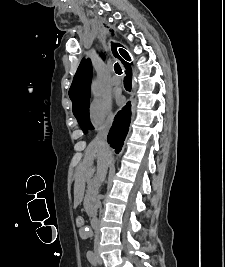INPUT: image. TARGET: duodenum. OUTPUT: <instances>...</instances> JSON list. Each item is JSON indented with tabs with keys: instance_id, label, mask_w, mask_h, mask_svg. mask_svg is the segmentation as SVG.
<instances>
[{
	"instance_id": "1",
	"label": "duodenum",
	"mask_w": 225,
	"mask_h": 267,
	"mask_svg": "<svg viewBox=\"0 0 225 267\" xmlns=\"http://www.w3.org/2000/svg\"><path fill=\"white\" fill-rule=\"evenodd\" d=\"M91 226L93 229H97L99 226V220L96 216H93L91 219Z\"/></svg>"
}]
</instances>
